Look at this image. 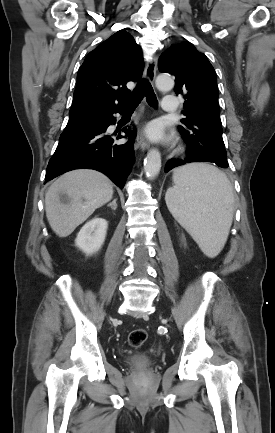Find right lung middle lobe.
<instances>
[{"mask_svg":"<svg viewBox=\"0 0 275 433\" xmlns=\"http://www.w3.org/2000/svg\"><path fill=\"white\" fill-rule=\"evenodd\" d=\"M82 118V117H81ZM81 118H76V119H71V120H69V122L68 123H73V122H76V121H78L79 119H81Z\"/></svg>","mask_w":275,"mask_h":433,"instance_id":"obj_1","label":"right lung middle lobe"}]
</instances>
